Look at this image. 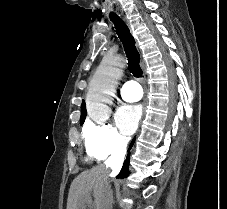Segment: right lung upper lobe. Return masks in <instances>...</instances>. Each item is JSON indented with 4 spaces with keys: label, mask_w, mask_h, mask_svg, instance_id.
<instances>
[{
    "label": "right lung upper lobe",
    "mask_w": 227,
    "mask_h": 209,
    "mask_svg": "<svg viewBox=\"0 0 227 209\" xmlns=\"http://www.w3.org/2000/svg\"><path fill=\"white\" fill-rule=\"evenodd\" d=\"M86 117V107H85V102L82 101V105H81V119H85Z\"/></svg>",
    "instance_id": "obj_1"
}]
</instances>
